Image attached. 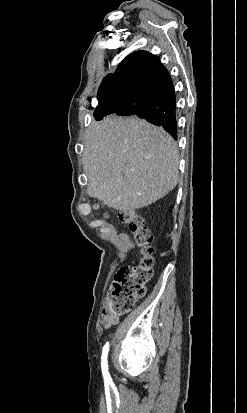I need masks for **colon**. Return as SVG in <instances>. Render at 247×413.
Masks as SVG:
<instances>
[{"mask_svg":"<svg viewBox=\"0 0 247 413\" xmlns=\"http://www.w3.org/2000/svg\"><path fill=\"white\" fill-rule=\"evenodd\" d=\"M120 219L127 224L135 242L141 248L144 258L137 264L126 266L118 271L110 291L111 314L122 315L130 311L147 291V285L153 279L154 260L153 234L143 215L134 211H120Z\"/></svg>","mask_w":247,"mask_h":413,"instance_id":"colon-1","label":"colon"}]
</instances>
